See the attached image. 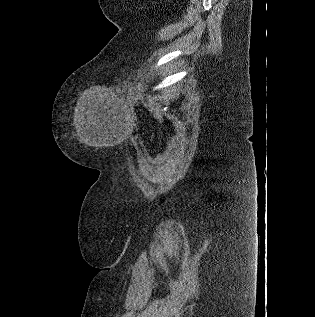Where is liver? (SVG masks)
Wrapping results in <instances>:
<instances>
[{
    "label": "liver",
    "instance_id": "obj_1",
    "mask_svg": "<svg viewBox=\"0 0 315 317\" xmlns=\"http://www.w3.org/2000/svg\"><path fill=\"white\" fill-rule=\"evenodd\" d=\"M75 118L77 119V118H78V115H76Z\"/></svg>",
    "mask_w": 315,
    "mask_h": 317
}]
</instances>
